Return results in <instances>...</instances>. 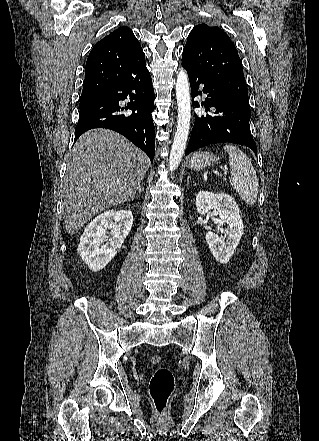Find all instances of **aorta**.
<instances>
[{
    "label": "aorta",
    "mask_w": 319,
    "mask_h": 441,
    "mask_svg": "<svg viewBox=\"0 0 319 441\" xmlns=\"http://www.w3.org/2000/svg\"><path fill=\"white\" fill-rule=\"evenodd\" d=\"M178 104L177 129L169 157V171L174 172L183 157L190 128L191 103L189 79L186 70L180 69L176 81Z\"/></svg>",
    "instance_id": "obj_1"
}]
</instances>
